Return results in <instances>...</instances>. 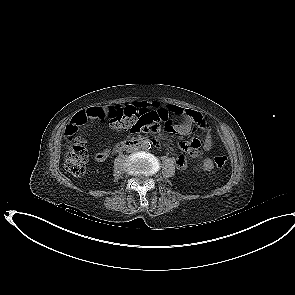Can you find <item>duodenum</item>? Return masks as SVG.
<instances>
[{"instance_id":"410a0bca","label":"duodenum","mask_w":295,"mask_h":295,"mask_svg":"<svg viewBox=\"0 0 295 295\" xmlns=\"http://www.w3.org/2000/svg\"><path fill=\"white\" fill-rule=\"evenodd\" d=\"M146 142H152V140H150L147 137H136L119 143L116 148L117 150H124L127 148H138Z\"/></svg>"}]
</instances>
